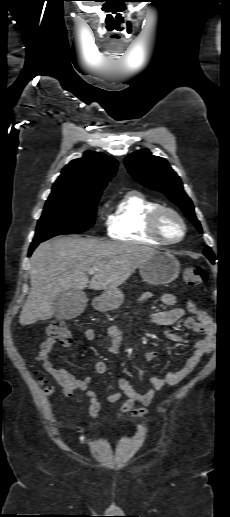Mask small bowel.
Wrapping results in <instances>:
<instances>
[{
	"label": "small bowel",
	"instance_id": "c3829d8e",
	"mask_svg": "<svg viewBox=\"0 0 230 517\" xmlns=\"http://www.w3.org/2000/svg\"><path fill=\"white\" fill-rule=\"evenodd\" d=\"M150 297L151 294L146 292L142 294L141 300H147ZM160 300L162 304L170 308L153 313L150 317L152 324L167 327L183 320L187 329L201 334L203 337L194 343L193 353L179 370L169 372L164 377H153L150 380L151 387L144 392H138L127 378L119 376L117 383L121 391L101 395L94 390V383L91 377L80 379L50 360L49 354L57 343L54 338H46L41 343L34 359L37 362H41L44 369L55 378L61 386L65 397L72 396L76 390H81L86 394L89 401V415L92 419L99 418L103 412L100 397H103L110 403H115L125 397L126 400L120 408L121 412L132 417H142L147 413V407L154 400L157 391L165 387L174 388L180 385L216 347V324L211 320L208 313L199 308L194 301L188 300L185 307L177 308L173 307L176 303V297L173 294H165L161 296ZM163 334L169 341L174 343L184 344L188 342L187 338L167 329L164 330ZM107 336L110 341L106 346V350L113 355H118L123 339L122 330L117 326H111L107 329ZM83 338L88 341L93 340L95 338L94 330L86 328L83 331ZM64 343L68 345V342ZM158 355L157 351H150L146 357L149 360H154ZM93 370L98 374H104L108 371V365L104 361H96L93 364ZM137 405L138 407H136ZM77 431L84 433L82 427H77Z\"/></svg>",
	"mask_w": 230,
	"mask_h": 517
}]
</instances>
